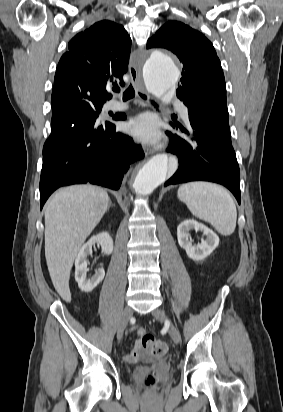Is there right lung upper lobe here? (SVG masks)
I'll list each match as a JSON object with an SVG mask.
<instances>
[{
    "mask_svg": "<svg viewBox=\"0 0 283 412\" xmlns=\"http://www.w3.org/2000/svg\"><path fill=\"white\" fill-rule=\"evenodd\" d=\"M58 64L52 91V114L80 101L105 103L111 84L124 85L131 39L124 27L103 20L77 34Z\"/></svg>",
    "mask_w": 283,
    "mask_h": 412,
    "instance_id": "obj_1",
    "label": "right lung upper lobe"
}]
</instances>
